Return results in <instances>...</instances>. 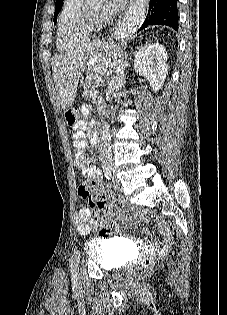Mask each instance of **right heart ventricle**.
I'll return each instance as SVG.
<instances>
[{"mask_svg": "<svg viewBox=\"0 0 227 315\" xmlns=\"http://www.w3.org/2000/svg\"><path fill=\"white\" fill-rule=\"evenodd\" d=\"M84 0H64L57 20L56 43L60 50H66L91 39L95 32L77 31L75 23Z\"/></svg>", "mask_w": 227, "mask_h": 315, "instance_id": "obj_1", "label": "right heart ventricle"}]
</instances>
